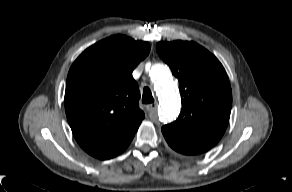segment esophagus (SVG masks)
Segmentation results:
<instances>
[{
	"label": "esophagus",
	"mask_w": 292,
	"mask_h": 192,
	"mask_svg": "<svg viewBox=\"0 0 292 192\" xmlns=\"http://www.w3.org/2000/svg\"><path fill=\"white\" fill-rule=\"evenodd\" d=\"M146 108H147V110H148L149 112H152V111L156 110V108H157V103L154 102V103L148 104V105L146 106Z\"/></svg>",
	"instance_id": "esophagus-1"
}]
</instances>
